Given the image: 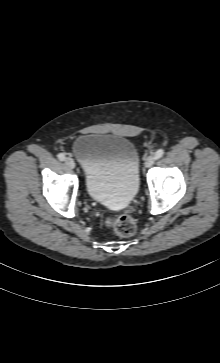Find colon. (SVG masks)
Returning a JSON list of instances; mask_svg holds the SVG:
<instances>
[{
	"label": "colon",
	"instance_id": "1",
	"mask_svg": "<svg viewBox=\"0 0 220 363\" xmlns=\"http://www.w3.org/2000/svg\"><path fill=\"white\" fill-rule=\"evenodd\" d=\"M105 225L122 237L132 236L136 231L135 220L126 214L112 215L106 218Z\"/></svg>",
	"mask_w": 220,
	"mask_h": 363
}]
</instances>
